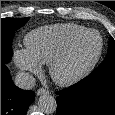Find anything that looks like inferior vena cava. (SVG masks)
I'll use <instances>...</instances> for the list:
<instances>
[{
	"label": "inferior vena cava",
	"instance_id": "inferior-vena-cava-1",
	"mask_svg": "<svg viewBox=\"0 0 115 115\" xmlns=\"http://www.w3.org/2000/svg\"><path fill=\"white\" fill-rule=\"evenodd\" d=\"M35 78L27 72H18L15 76L14 83L21 89H32L35 86Z\"/></svg>",
	"mask_w": 115,
	"mask_h": 115
}]
</instances>
